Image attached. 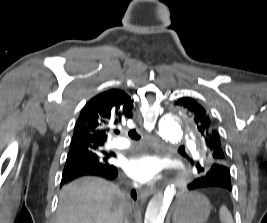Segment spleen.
I'll return each instance as SVG.
<instances>
[{
  "instance_id": "3e777b00",
  "label": "spleen",
  "mask_w": 267,
  "mask_h": 223,
  "mask_svg": "<svg viewBox=\"0 0 267 223\" xmlns=\"http://www.w3.org/2000/svg\"><path fill=\"white\" fill-rule=\"evenodd\" d=\"M219 214L222 223H234L232 215L225 205L221 206Z\"/></svg>"
}]
</instances>
